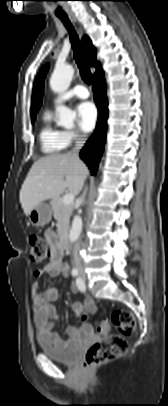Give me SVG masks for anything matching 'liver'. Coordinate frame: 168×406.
Returning a JSON list of instances; mask_svg holds the SVG:
<instances>
[{"instance_id": "obj_1", "label": "liver", "mask_w": 168, "mask_h": 406, "mask_svg": "<svg viewBox=\"0 0 168 406\" xmlns=\"http://www.w3.org/2000/svg\"><path fill=\"white\" fill-rule=\"evenodd\" d=\"M88 169L71 154H52L34 162L20 190L24 214L45 200L59 197L67 188L77 195L82 190Z\"/></svg>"}]
</instances>
